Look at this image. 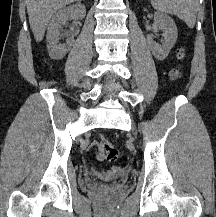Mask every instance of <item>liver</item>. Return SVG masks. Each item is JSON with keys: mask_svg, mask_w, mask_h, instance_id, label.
<instances>
[{"mask_svg": "<svg viewBox=\"0 0 216 217\" xmlns=\"http://www.w3.org/2000/svg\"><path fill=\"white\" fill-rule=\"evenodd\" d=\"M74 1L76 0H26L30 27L37 42L43 39L52 15Z\"/></svg>", "mask_w": 216, "mask_h": 217, "instance_id": "1", "label": "liver"}]
</instances>
